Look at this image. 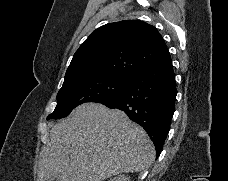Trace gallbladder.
<instances>
[{
  "mask_svg": "<svg viewBox=\"0 0 228 181\" xmlns=\"http://www.w3.org/2000/svg\"><path fill=\"white\" fill-rule=\"evenodd\" d=\"M56 177L55 175H48V177H45L44 181H55Z\"/></svg>",
  "mask_w": 228,
  "mask_h": 181,
  "instance_id": "obj_1",
  "label": "gallbladder"
}]
</instances>
